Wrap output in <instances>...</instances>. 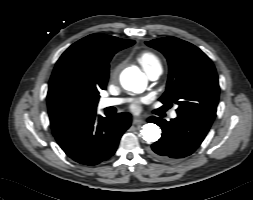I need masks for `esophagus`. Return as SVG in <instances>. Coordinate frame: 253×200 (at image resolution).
Returning a JSON list of instances; mask_svg holds the SVG:
<instances>
[{"instance_id": "1", "label": "esophagus", "mask_w": 253, "mask_h": 200, "mask_svg": "<svg viewBox=\"0 0 253 200\" xmlns=\"http://www.w3.org/2000/svg\"><path fill=\"white\" fill-rule=\"evenodd\" d=\"M132 123H133V125H140V124L143 123V121L140 120V119L134 118L133 121H132Z\"/></svg>"}]
</instances>
